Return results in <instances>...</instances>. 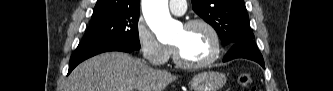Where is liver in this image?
Listing matches in <instances>:
<instances>
[{
    "label": "liver",
    "instance_id": "liver-1",
    "mask_svg": "<svg viewBox=\"0 0 333 91\" xmlns=\"http://www.w3.org/2000/svg\"><path fill=\"white\" fill-rule=\"evenodd\" d=\"M177 75L122 52L104 53L78 65L65 91H163Z\"/></svg>",
    "mask_w": 333,
    "mask_h": 91
}]
</instances>
